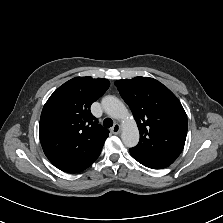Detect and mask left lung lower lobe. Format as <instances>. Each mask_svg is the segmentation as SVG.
I'll list each match as a JSON object with an SVG mask.
<instances>
[{
    "mask_svg": "<svg viewBox=\"0 0 223 223\" xmlns=\"http://www.w3.org/2000/svg\"><path fill=\"white\" fill-rule=\"evenodd\" d=\"M133 156V155H132ZM138 162H140L142 165L152 168V169H161L169 166L170 164H165V163H159V162H153V161H148L142 158H138L133 156Z\"/></svg>",
    "mask_w": 223,
    "mask_h": 223,
    "instance_id": "0a47b994",
    "label": "left lung lower lobe"
}]
</instances>
